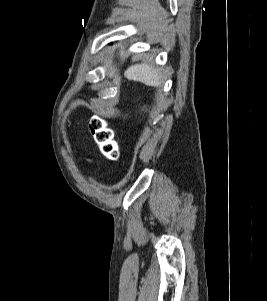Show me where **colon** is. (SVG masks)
I'll return each instance as SVG.
<instances>
[{
    "label": "colon",
    "instance_id": "colon-1",
    "mask_svg": "<svg viewBox=\"0 0 267 301\" xmlns=\"http://www.w3.org/2000/svg\"><path fill=\"white\" fill-rule=\"evenodd\" d=\"M89 129L101 153L110 160H117L120 156L119 145L107 121L95 116L89 122Z\"/></svg>",
    "mask_w": 267,
    "mask_h": 301
}]
</instances>
